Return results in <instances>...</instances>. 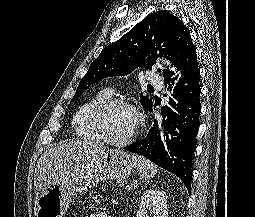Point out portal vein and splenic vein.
I'll use <instances>...</instances> for the list:
<instances>
[{
    "label": "portal vein and splenic vein",
    "instance_id": "1",
    "mask_svg": "<svg viewBox=\"0 0 255 217\" xmlns=\"http://www.w3.org/2000/svg\"><path fill=\"white\" fill-rule=\"evenodd\" d=\"M127 190H132V186L131 185H127Z\"/></svg>",
    "mask_w": 255,
    "mask_h": 217
}]
</instances>
